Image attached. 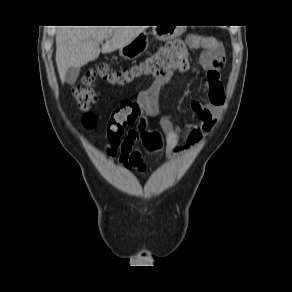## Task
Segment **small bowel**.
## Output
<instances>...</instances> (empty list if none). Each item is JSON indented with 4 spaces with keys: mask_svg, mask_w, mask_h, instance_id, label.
Wrapping results in <instances>:
<instances>
[{
    "mask_svg": "<svg viewBox=\"0 0 292 292\" xmlns=\"http://www.w3.org/2000/svg\"><path fill=\"white\" fill-rule=\"evenodd\" d=\"M195 43L205 50L200 62L206 71L205 90L209 101L207 104L196 99L191 102V109L197 117V123L187 124L181 128L174 125L168 117L162 118L164 139L161 152L170 156L186 154L192 147L199 144L214 126L224 104V88L220 82V71L225 59L222 46L214 37L199 38L195 40ZM187 68L185 62L174 67L164 77L158 78L153 87L160 89L171 80L174 72H182ZM140 140H142L140 128L131 129L126 133L119 145V162L124 170H134L138 174H145L147 167L139 147ZM182 140L185 142L184 144H181Z\"/></svg>",
    "mask_w": 292,
    "mask_h": 292,
    "instance_id": "c3829d8e",
    "label": "small bowel"
}]
</instances>
